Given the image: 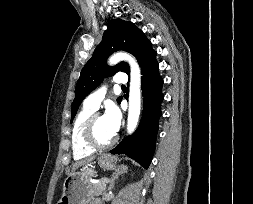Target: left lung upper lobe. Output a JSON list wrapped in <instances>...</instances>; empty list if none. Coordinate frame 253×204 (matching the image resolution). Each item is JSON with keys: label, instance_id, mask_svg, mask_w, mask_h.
Listing matches in <instances>:
<instances>
[{"label": "left lung upper lobe", "instance_id": "1", "mask_svg": "<svg viewBox=\"0 0 253 204\" xmlns=\"http://www.w3.org/2000/svg\"><path fill=\"white\" fill-rule=\"evenodd\" d=\"M150 48H152L151 42L132 22L121 19L111 20L103 34L101 43L83 67L77 81L76 96L72 103L71 121L82 100L101 83L105 75L112 76L119 71L129 74L130 69L126 62H121L113 67L107 66L106 59L109 55L118 50L128 51L136 57L141 66ZM121 100L122 97H119L118 103Z\"/></svg>", "mask_w": 253, "mask_h": 204}]
</instances>
